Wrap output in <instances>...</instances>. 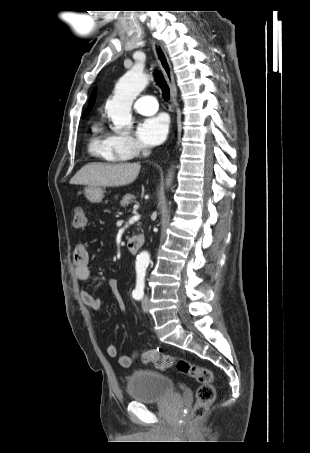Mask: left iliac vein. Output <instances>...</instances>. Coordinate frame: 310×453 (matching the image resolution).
Returning a JSON list of instances; mask_svg holds the SVG:
<instances>
[{
	"instance_id": "obj_1",
	"label": "left iliac vein",
	"mask_w": 310,
	"mask_h": 453,
	"mask_svg": "<svg viewBox=\"0 0 310 453\" xmlns=\"http://www.w3.org/2000/svg\"><path fill=\"white\" fill-rule=\"evenodd\" d=\"M141 305H142V310L144 312H147L148 309H149V298H148L147 295L143 296L142 301H141Z\"/></svg>"
}]
</instances>
